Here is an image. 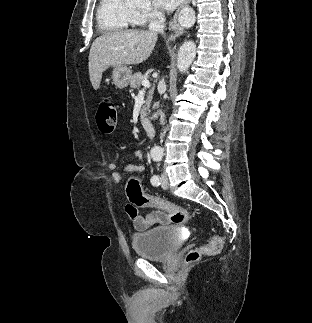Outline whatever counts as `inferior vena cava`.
<instances>
[{"label":"inferior vena cava","mask_w":312,"mask_h":323,"mask_svg":"<svg viewBox=\"0 0 312 323\" xmlns=\"http://www.w3.org/2000/svg\"><path fill=\"white\" fill-rule=\"evenodd\" d=\"M164 22H165V16L164 14H157V20H153V22H151L150 26H149V30H151V32H157V30H159V32H163L165 26H164ZM159 86L160 88H165V82L164 80H161V82H159Z\"/></svg>","instance_id":"obj_1"}]
</instances>
